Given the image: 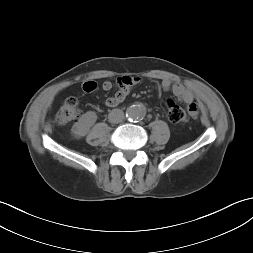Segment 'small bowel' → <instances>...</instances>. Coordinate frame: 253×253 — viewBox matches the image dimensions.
Here are the masks:
<instances>
[{
    "instance_id": "obj_1",
    "label": "small bowel",
    "mask_w": 253,
    "mask_h": 253,
    "mask_svg": "<svg viewBox=\"0 0 253 253\" xmlns=\"http://www.w3.org/2000/svg\"><path fill=\"white\" fill-rule=\"evenodd\" d=\"M140 78L137 76H122L117 80L119 86L118 91L105 100V105L108 107H115L122 103L128 96L131 88L140 82ZM161 87L165 91H171L181 102L185 103L184 115L187 118H194L199 113V105L195 101L193 92L182 85L181 83H172L169 79H164L161 82ZM82 88L85 92H93L97 89V84L94 81H86L83 83ZM102 88L108 91L112 88L110 81H105L102 84Z\"/></svg>"
}]
</instances>
